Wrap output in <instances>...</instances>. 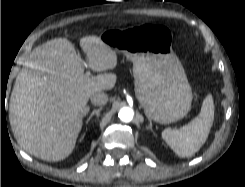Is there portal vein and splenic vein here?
<instances>
[{
    "instance_id": "18ae733b",
    "label": "portal vein and splenic vein",
    "mask_w": 245,
    "mask_h": 187,
    "mask_svg": "<svg viewBox=\"0 0 245 187\" xmlns=\"http://www.w3.org/2000/svg\"><path fill=\"white\" fill-rule=\"evenodd\" d=\"M86 74H87V75H90V72L88 71Z\"/></svg>"
}]
</instances>
